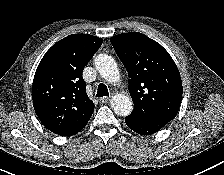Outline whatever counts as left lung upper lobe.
<instances>
[{
	"mask_svg": "<svg viewBox=\"0 0 224 175\" xmlns=\"http://www.w3.org/2000/svg\"><path fill=\"white\" fill-rule=\"evenodd\" d=\"M110 41L129 76L134 109L128 117L143 121L173 120L182 101V81L168 52L139 32L119 34Z\"/></svg>",
	"mask_w": 224,
	"mask_h": 175,
	"instance_id": "obj_1",
	"label": "left lung upper lobe"
}]
</instances>
